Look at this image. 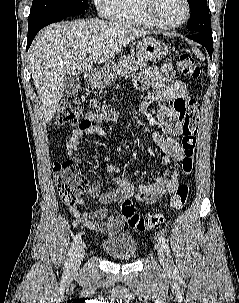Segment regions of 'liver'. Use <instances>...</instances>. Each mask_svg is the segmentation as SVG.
I'll list each match as a JSON object with an SVG mask.
<instances>
[{"mask_svg": "<svg viewBox=\"0 0 239 303\" xmlns=\"http://www.w3.org/2000/svg\"><path fill=\"white\" fill-rule=\"evenodd\" d=\"M148 32L122 21L78 20L49 25L33 41L28 60L45 123L56 113L66 78L114 58ZM95 49L88 54V49Z\"/></svg>", "mask_w": 239, "mask_h": 303, "instance_id": "6515ba94", "label": "liver"}]
</instances>
